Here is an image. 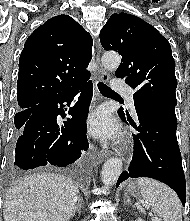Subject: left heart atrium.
<instances>
[{"mask_svg":"<svg viewBox=\"0 0 190 221\" xmlns=\"http://www.w3.org/2000/svg\"><path fill=\"white\" fill-rule=\"evenodd\" d=\"M87 128L92 136L103 141H115L120 135L119 124L105 108H99L89 116Z\"/></svg>","mask_w":190,"mask_h":221,"instance_id":"left-heart-atrium-1","label":"left heart atrium"}]
</instances>
